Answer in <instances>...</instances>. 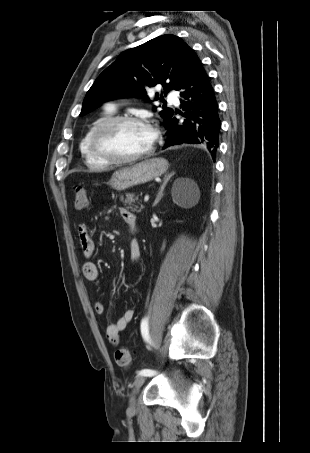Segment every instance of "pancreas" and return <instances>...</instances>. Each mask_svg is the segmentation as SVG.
Returning <instances> with one entry per match:
<instances>
[{
  "label": "pancreas",
  "instance_id": "cf45deb5",
  "mask_svg": "<svg viewBox=\"0 0 310 453\" xmlns=\"http://www.w3.org/2000/svg\"><path fill=\"white\" fill-rule=\"evenodd\" d=\"M138 195L136 196L134 193H126V198H121V201L127 206L128 209L137 211L139 206L134 205L136 201H138ZM142 207V206H141Z\"/></svg>",
  "mask_w": 310,
  "mask_h": 453
}]
</instances>
